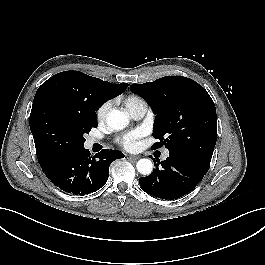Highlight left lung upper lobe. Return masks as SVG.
<instances>
[{
  "instance_id": "5c2ea615",
  "label": "left lung upper lobe",
  "mask_w": 265,
  "mask_h": 265,
  "mask_svg": "<svg viewBox=\"0 0 265 265\" xmlns=\"http://www.w3.org/2000/svg\"><path fill=\"white\" fill-rule=\"evenodd\" d=\"M156 114L153 137L170 156L187 157L209 166L217 141V115L213 100L197 82L183 76H166L131 85Z\"/></svg>"
}]
</instances>
